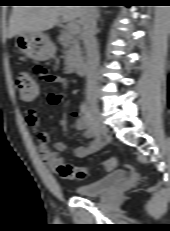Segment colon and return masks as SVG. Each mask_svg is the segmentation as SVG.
<instances>
[{
    "label": "colon",
    "mask_w": 170,
    "mask_h": 231,
    "mask_svg": "<svg viewBox=\"0 0 170 231\" xmlns=\"http://www.w3.org/2000/svg\"><path fill=\"white\" fill-rule=\"evenodd\" d=\"M15 86L18 95L23 101H33L39 93V86L37 81L28 72H19L15 78ZM116 166V159L108 158L102 162L100 168L104 170H112ZM58 173L63 179H84L89 171L86 168L77 167L70 163H62L57 168Z\"/></svg>",
    "instance_id": "1"
}]
</instances>
